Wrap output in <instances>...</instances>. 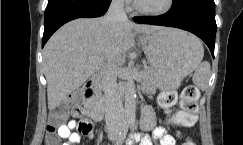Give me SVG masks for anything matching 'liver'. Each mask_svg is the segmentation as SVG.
Segmentation results:
<instances>
[{"label":"liver","mask_w":243,"mask_h":145,"mask_svg":"<svg viewBox=\"0 0 243 145\" xmlns=\"http://www.w3.org/2000/svg\"><path fill=\"white\" fill-rule=\"evenodd\" d=\"M164 27L120 22L112 27L106 16L76 19L56 31L43 50L48 108L58 107L109 57L129 51L137 33L151 34Z\"/></svg>","instance_id":"obj_1"}]
</instances>
